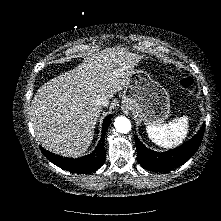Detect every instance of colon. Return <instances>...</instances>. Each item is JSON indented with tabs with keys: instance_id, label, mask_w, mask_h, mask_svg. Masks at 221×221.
Instances as JSON below:
<instances>
[{
	"instance_id": "obj_1",
	"label": "colon",
	"mask_w": 221,
	"mask_h": 221,
	"mask_svg": "<svg viewBox=\"0 0 221 221\" xmlns=\"http://www.w3.org/2000/svg\"><path fill=\"white\" fill-rule=\"evenodd\" d=\"M168 73L171 74V72H168ZM180 85L183 88L192 91L195 86V79L193 76L187 75L180 80Z\"/></svg>"
}]
</instances>
